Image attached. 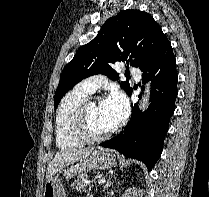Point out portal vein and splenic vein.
Here are the masks:
<instances>
[{"label": "portal vein and splenic vein", "mask_w": 209, "mask_h": 197, "mask_svg": "<svg viewBox=\"0 0 209 197\" xmlns=\"http://www.w3.org/2000/svg\"><path fill=\"white\" fill-rule=\"evenodd\" d=\"M105 183V179H101L98 181V184H104Z\"/></svg>", "instance_id": "18ae733b"}]
</instances>
